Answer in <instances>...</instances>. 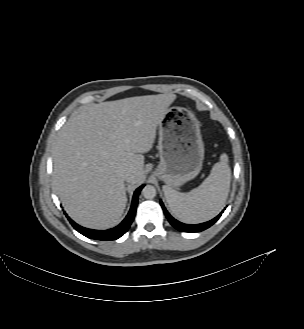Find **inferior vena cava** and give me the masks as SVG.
Instances as JSON below:
<instances>
[{
	"mask_svg": "<svg viewBox=\"0 0 304 329\" xmlns=\"http://www.w3.org/2000/svg\"><path fill=\"white\" fill-rule=\"evenodd\" d=\"M121 175H122V177H123L125 180H128L131 174H130L129 171H127V170H123V171L121 172Z\"/></svg>",
	"mask_w": 304,
	"mask_h": 329,
	"instance_id": "1",
	"label": "inferior vena cava"
}]
</instances>
